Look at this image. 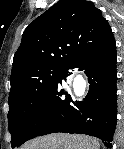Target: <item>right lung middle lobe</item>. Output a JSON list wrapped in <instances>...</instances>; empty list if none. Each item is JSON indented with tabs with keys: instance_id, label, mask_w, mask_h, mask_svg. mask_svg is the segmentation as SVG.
<instances>
[{
	"instance_id": "obj_1",
	"label": "right lung middle lobe",
	"mask_w": 124,
	"mask_h": 149,
	"mask_svg": "<svg viewBox=\"0 0 124 149\" xmlns=\"http://www.w3.org/2000/svg\"><path fill=\"white\" fill-rule=\"evenodd\" d=\"M63 68L36 70L18 81L9 93L8 128L12 148L18 144L25 128L55 85Z\"/></svg>"
}]
</instances>
